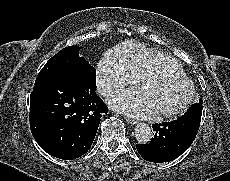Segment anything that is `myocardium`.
Here are the masks:
<instances>
[{"label": "myocardium", "mask_w": 230, "mask_h": 181, "mask_svg": "<svg viewBox=\"0 0 230 181\" xmlns=\"http://www.w3.org/2000/svg\"><path fill=\"white\" fill-rule=\"evenodd\" d=\"M156 78H161V79H178V80H182L184 81L187 85H188V94L185 98V100L183 101V103L172 110H161V111H157L158 115H162L165 117H175L177 115H180L182 113H184L192 104L193 99L195 97V86L194 83L192 82V80L186 76L185 73H173L171 71H157V72H151L147 75H145L140 84H139V89L143 90L145 85Z\"/></svg>", "instance_id": "1"}]
</instances>
